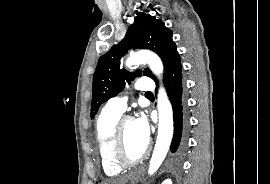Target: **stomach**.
I'll return each instance as SVG.
<instances>
[{
  "label": "stomach",
  "instance_id": "obj_1",
  "mask_svg": "<svg viewBox=\"0 0 270 184\" xmlns=\"http://www.w3.org/2000/svg\"><path fill=\"white\" fill-rule=\"evenodd\" d=\"M134 178L137 179L138 178V175H136Z\"/></svg>",
  "mask_w": 270,
  "mask_h": 184
}]
</instances>
